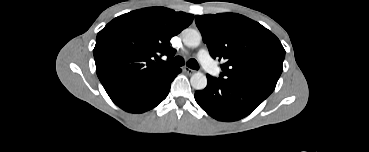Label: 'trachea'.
Masks as SVG:
<instances>
[{
  "label": "trachea",
  "mask_w": 369,
  "mask_h": 152,
  "mask_svg": "<svg viewBox=\"0 0 369 152\" xmlns=\"http://www.w3.org/2000/svg\"><path fill=\"white\" fill-rule=\"evenodd\" d=\"M163 64L171 65V66H182L184 65V59L181 56H176L173 59H171L169 62H163ZM186 65L191 68L198 70L199 64L195 59H189Z\"/></svg>",
  "instance_id": "obj_1"
}]
</instances>
